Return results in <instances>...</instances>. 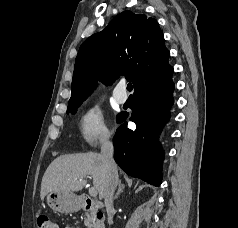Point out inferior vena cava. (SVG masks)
<instances>
[{
	"label": "inferior vena cava",
	"instance_id": "602c4592",
	"mask_svg": "<svg viewBox=\"0 0 238 228\" xmlns=\"http://www.w3.org/2000/svg\"><path fill=\"white\" fill-rule=\"evenodd\" d=\"M114 147L109 140V136H106L101 143V155L103 157L105 166L108 171V179L105 187L104 202L108 215V224L113 223V195L118 184V173L115 161L113 159Z\"/></svg>",
	"mask_w": 238,
	"mask_h": 228
}]
</instances>
